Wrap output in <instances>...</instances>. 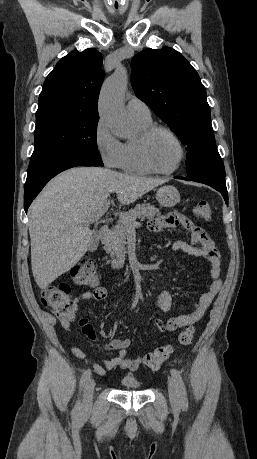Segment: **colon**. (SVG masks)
I'll use <instances>...</instances> for the list:
<instances>
[{
	"label": "colon",
	"mask_w": 257,
	"mask_h": 459,
	"mask_svg": "<svg viewBox=\"0 0 257 459\" xmlns=\"http://www.w3.org/2000/svg\"><path fill=\"white\" fill-rule=\"evenodd\" d=\"M195 217L199 220L207 221L212 216V210L206 200H200L194 208ZM73 280L84 286H93L98 282L96 264L93 260L83 259L72 270ZM42 303L49 307L53 313L61 319L73 317L77 305L70 297V286L66 283L50 285L42 290ZM194 340V330L190 327L185 328L177 337V345L187 346ZM173 350L172 346H162L156 348L144 358V364L151 370L158 369L166 361Z\"/></svg>",
	"instance_id": "obj_1"
}]
</instances>
